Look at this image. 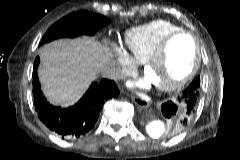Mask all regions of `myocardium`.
Listing matches in <instances>:
<instances>
[{"label":"myocardium","instance_id":"obj_1","mask_svg":"<svg viewBox=\"0 0 240 160\" xmlns=\"http://www.w3.org/2000/svg\"><path fill=\"white\" fill-rule=\"evenodd\" d=\"M178 36H187L192 40L194 45V50H195L194 61L192 66L184 76L165 84L156 85L157 89L160 91H172L183 86L194 77V75L196 74L200 66L201 46L198 41V38L189 31L178 30L167 35L160 42V44L157 46L155 51L145 60L144 67H143L144 73L147 74V72L152 68V66L156 64L163 57L169 43Z\"/></svg>","mask_w":240,"mask_h":160}]
</instances>
